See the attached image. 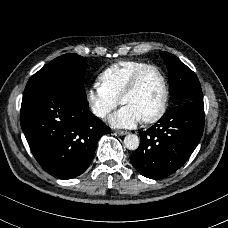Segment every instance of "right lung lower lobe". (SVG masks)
Here are the masks:
<instances>
[{
  "mask_svg": "<svg viewBox=\"0 0 228 228\" xmlns=\"http://www.w3.org/2000/svg\"><path fill=\"white\" fill-rule=\"evenodd\" d=\"M20 121L35 159L60 179L81 175L99 138L110 131L89 111L86 99L58 86L26 89Z\"/></svg>",
  "mask_w": 228,
  "mask_h": 228,
  "instance_id": "obj_1",
  "label": "right lung lower lobe"
}]
</instances>
